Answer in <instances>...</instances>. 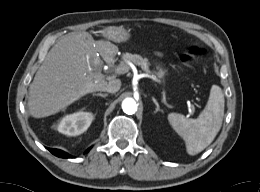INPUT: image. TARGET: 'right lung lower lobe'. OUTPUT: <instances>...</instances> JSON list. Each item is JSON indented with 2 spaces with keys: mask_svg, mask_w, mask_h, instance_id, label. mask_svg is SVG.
<instances>
[{
  "mask_svg": "<svg viewBox=\"0 0 260 192\" xmlns=\"http://www.w3.org/2000/svg\"><path fill=\"white\" fill-rule=\"evenodd\" d=\"M48 150L54 154L55 156L57 157H60V158H73V156L69 155L68 153L62 151V150H59V149H51V148H48ZM90 150V148L86 151L88 152Z\"/></svg>",
  "mask_w": 260,
  "mask_h": 192,
  "instance_id": "right-lung-lower-lobe-1",
  "label": "right lung lower lobe"
}]
</instances>
